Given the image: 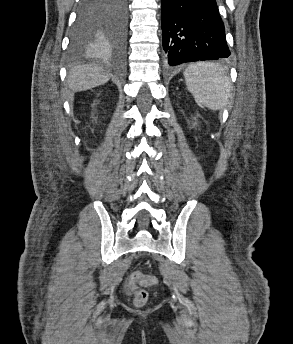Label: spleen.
Listing matches in <instances>:
<instances>
[{
    "label": "spleen",
    "mask_w": 293,
    "mask_h": 344,
    "mask_svg": "<svg viewBox=\"0 0 293 344\" xmlns=\"http://www.w3.org/2000/svg\"><path fill=\"white\" fill-rule=\"evenodd\" d=\"M184 77L194 98L212 110L222 109L230 95V79L226 71L213 63H197L189 66Z\"/></svg>",
    "instance_id": "obj_1"
}]
</instances>
